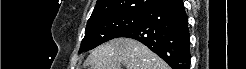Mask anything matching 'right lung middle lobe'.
<instances>
[{
  "instance_id": "right-lung-middle-lobe-1",
  "label": "right lung middle lobe",
  "mask_w": 246,
  "mask_h": 69,
  "mask_svg": "<svg viewBox=\"0 0 246 69\" xmlns=\"http://www.w3.org/2000/svg\"><path fill=\"white\" fill-rule=\"evenodd\" d=\"M141 20L142 14H118L88 21L79 52L91 50L119 37L124 31L138 25Z\"/></svg>"
}]
</instances>
